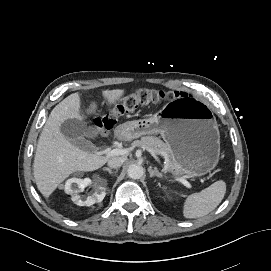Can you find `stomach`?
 <instances>
[{
  "label": "stomach",
  "instance_id": "stomach-1",
  "mask_svg": "<svg viewBox=\"0 0 271 271\" xmlns=\"http://www.w3.org/2000/svg\"><path fill=\"white\" fill-rule=\"evenodd\" d=\"M116 132L127 140L160 133L179 164V176L205 175L219 161L217 121L211 109L194 98L173 99L149 118L126 122Z\"/></svg>",
  "mask_w": 271,
  "mask_h": 271
}]
</instances>
